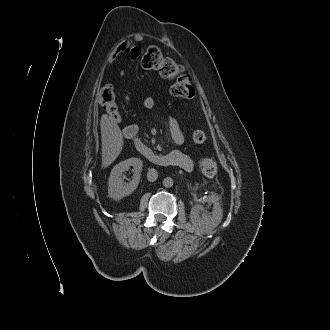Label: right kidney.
<instances>
[{
  "instance_id": "ca27d5eb",
  "label": "right kidney",
  "mask_w": 330,
  "mask_h": 330,
  "mask_svg": "<svg viewBox=\"0 0 330 330\" xmlns=\"http://www.w3.org/2000/svg\"><path fill=\"white\" fill-rule=\"evenodd\" d=\"M131 166H133L134 171L133 179L129 183H125L122 172L127 171ZM142 166V160L135 157L126 159L115 165L108 179L109 197L114 200H120L132 194L139 184Z\"/></svg>"
}]
</instances>
